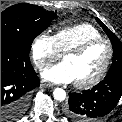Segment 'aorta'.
Returning a JSON list of instances; mask_svg holds the SVG:
<instances>
[{
	"label": "aorta",
	"instance_id": "1",
	"mask_svg": "<svg viewBox=\"0 0 122 122\" xmlns=\"http://www.w3.org/2000/svg\"><path fill=\"white\" fill-rule=\"evenodd\" d=\"M53 97L57 101H64L66 98V92L62 88H56L53 91Z\"/></svg>",
	"mask_w": 122,
	"mask_h": 122
}]
</instances>
